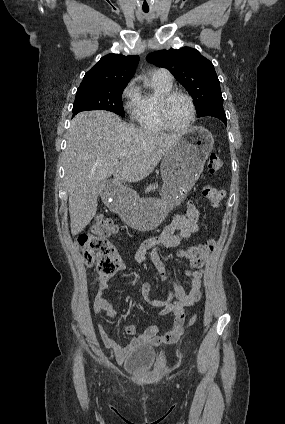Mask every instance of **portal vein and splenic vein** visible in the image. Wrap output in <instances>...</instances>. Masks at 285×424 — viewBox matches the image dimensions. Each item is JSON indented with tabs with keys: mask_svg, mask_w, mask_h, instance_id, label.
Masks as SVG:
<instances>
[{
	"mask_svg": "<svg viewBox=\"0 0 285 424\" xmlns=\"http://www.w3.org/2000/svg\"><path fill=\"white\" fill-rule=\"evenodd\" d=\"M126 154H127L126 152H121V153L119 154V156H120V157H124Z\"/></svg>",
	"mask_w": 285,
	"mask_h": 424,
	"instance_id": "18ae733b",
	"label": "portal vein and splenic vein"
}]
</instances>
